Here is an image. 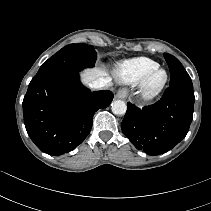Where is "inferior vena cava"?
Masks as SVG:
<instances>
[{
    "instance_id": "obj_1",
    "label": "inferior vena cava",
    "mask_w": 211,
    "mask_h": 211,
    "mask_svg": "<svg viewBox=\"0 0 211 211\" xmlns=\"http://www.w3.org/2000/svg\"><path fill=\"white\" fill-rule=\"evenodd\" d=\"M107 85H108V80L103 77L97 78L96 80L89 83V87L94 89H102Z\"/></svg>"
}]
</instances>
